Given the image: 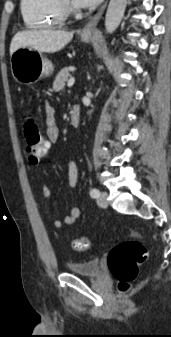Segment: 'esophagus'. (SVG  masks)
Listing matches in <instances>:
<instances>
[{"mask_svg": "<svg viewBox=\"0 0 171 337\" xmlns=\"http://www.w3.org/2000/svg\"><path fill=\"white\" fill-rule=\"evenodd\" d=\"M107 6V1L102 5V7L98 10V12L88 21V23L82 29V35L88 36L92 35L96 30V26L101 19L104 10Z\"/></svg>", "mask_w": 171, "mask_h": 337, "instance_id": "34e87169", "label": "esophagus"}]
</instances>
